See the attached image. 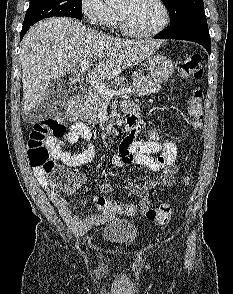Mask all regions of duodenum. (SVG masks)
I'll list each match as a JSON object with an SVG mask.
<instances>
[{"instance_id": "1", "label": "duodenum", "mask_w": 233, "mask_h": 294, "mask_svg": "<svg viewBox=\"0 0 233 294\" xmlns=\"http://www.w3.org/2000/svg\"><path fill=\"white\" fill-rule=\"evenodd\" d=\"M78 106H79V96L75 95L72 96L66 106H65V116L69 120H76L78 118ZM125 115H126V125L122 131V133L125 135L126 138H134V136L137 133V118L138 113L136 108L133 105H128L124 109Z\"/></svg>"}]
</instances>
